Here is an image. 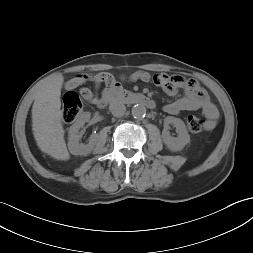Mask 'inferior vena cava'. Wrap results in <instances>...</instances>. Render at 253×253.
I'll return each instance as SVG.
<instances>
[{"instance_id":"obj_1","label":"inferior vena cava","mask_w":253,"mask_h":253,"mask_svg":"<svg viewBox=\"0 0 253 253\" xmlns=\"http://www.w3.org/2000/svg\"><path fill=\"white\" fill-rule=\"evenodd\" d=\"M109 110L115 117H121L125 114L126 107L121 102H113L109 106Z\"/></svg>"}]
</instances>
